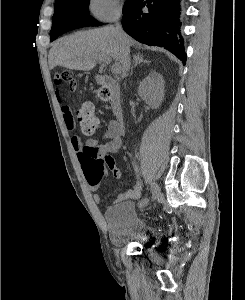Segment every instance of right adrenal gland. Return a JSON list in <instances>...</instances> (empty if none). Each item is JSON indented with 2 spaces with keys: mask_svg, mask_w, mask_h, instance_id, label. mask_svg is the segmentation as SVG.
<instances>
[{
  "mask_svg": "<svg viewBox=\"0 0 245 300\" xmlns=\"http://www.w3.org/2000/svg\"><path fill=\"white\" fill-rule=\"evenodd\" d=\"M133 63H134V65L131 67V74H132L133 69H134L137 65H139L140 63L150 64V61L143 59V57H142L141 55L138 54V55H134V56H133Z\"/></svg>",
  "mask_w": 245,
  "mask_h": 300,
  "instance_id": "right-adrenal-gland-1",
  "label": "right adrenal gland"
}]
</instances>
